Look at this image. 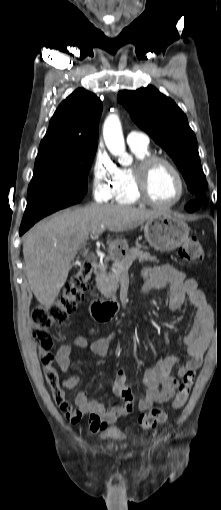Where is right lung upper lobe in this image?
Returning a JSON list of instances; mask_svg holds the SVG:
<instances>
[{"label": "right lung upper lobe", "instance_id": "obj_1", "mask_svg": "<svg viewBox=\"0 0 221 510\" xmlns=\"http://www.w3.org/2000/svg\"><path fill=\"white\" fill-rule=\"evenodd\" d=\"M101 100L78 88L57 108L39 146L37 159L97 147Z\"/></svg>", "mask_w": 221, "mask_h": 510}]
</instances>
